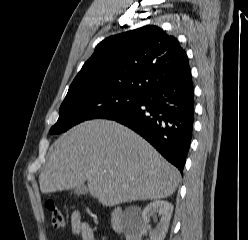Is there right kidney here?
<instances>
[{
    "mask_svg": "<svg viewBox=\"0 0 248 240\" xmlns=\"http://www.w3.org/2000/svg\"><path fill=\"white\" fill-rule=\"evenodd\" d=\"M173 205L168 201L156 200L148 204L142 212V220L137 225L131 226L125 233L126 240H141L142 235L149 227L151 217L158 213L160 221L156 228L150 231V240H164L168 231Z\"/></svg>",
    "mask_w": 248,
    "mask_h": 240,
    "instance_id": "right-kidney-1",
    "label": "right kidney"
}]
</instances>
